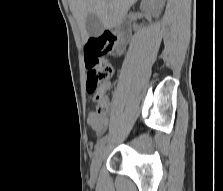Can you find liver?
Segmentation results:
<instances>
[{"label": "liver", "instance_id": "1", "mask_svg": "<svg viewBox=\"0 0 223 191\" xmlns=\"http://www.w3.org/2000/svg\"><path fill=\"white\" fill-rule=\"evenodd\" d=\"M136 1L137 0H69V5L85 43L89 38L85 27L86 18L89 14L97 15L105 29H112L121 23Z\"/></svg>", "mask_w": 223, "mask_h": 191}]
</instances>
